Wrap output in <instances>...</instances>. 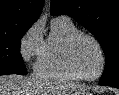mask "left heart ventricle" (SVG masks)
I'll return each mask as SVG.
<instances>
[{
  "instance_id": "1",
  "label": "left heart ventricle",
  "mask_w": 119,
  "mask_h": 95,
  "mask_svg": "<svg viewBox=\"0 0 119 95\" xmlns=\"http://www.w3.org/2000/svg\"><path fill=\"white\" fill-rule=\"evenodd\" d=\"M73 64L76 71L83 76L98 73L101 57L96 45L87 38H80L73 48Z\"/></svg>"
}]
</instances>
